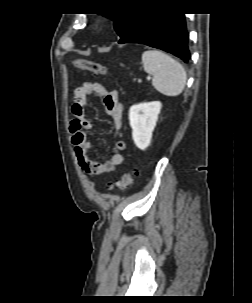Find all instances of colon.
<instances>
[{
	"instance_id": "obj_1",
	"label": "colon",
	"mask_w": 252,
	"mask_h": 303,
	"mask_svg": "<svg viewBox=\"0 0 252 303\" xmlns=\"http://www.w3.org/2000/svg\"><path fill=\"white\" fill-rule=\"evenodd\" d=\"M74 66L81 70H86L95 75H106L107 68L93 60L89 59H77L74 61ZM137 173L136 169H130L127 171L118 181L109 185V189L123 190L127 188L133 181Z\"/></svg>"
}]
</instances>
